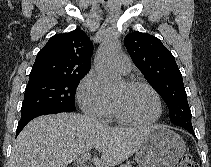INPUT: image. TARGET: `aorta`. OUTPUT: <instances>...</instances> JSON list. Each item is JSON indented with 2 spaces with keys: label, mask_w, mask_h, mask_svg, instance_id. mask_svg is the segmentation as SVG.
Instances as JSON below:
<instances>
[{
  "label": "aorta",
  "mask_w": 211,
  "mask_h": 167,
  "mask_svg": "<svg viewBox=\"0 0 211 167\" xmlns=\"http://www.w3.org/2000/svg\"><path fill=\"white\" fill-rule=\"evenodd\" d=\"M120 49V43L116 38L103 42L95 58V69L100 76L104 90L112 91L121 83L122 78L114 71L112 60Z\"/></svg>",
  "instance_id": "aorta-1"
}]
</instances>
